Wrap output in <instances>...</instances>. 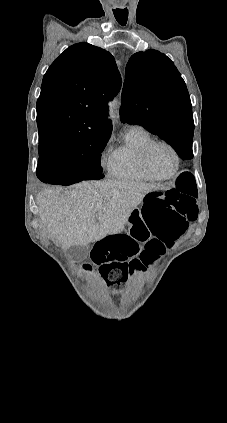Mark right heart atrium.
Instances as JSON below:
<instances>
[{"instance_id": "right-heart-atrium-1", "label": "right heart atrium", "mask_w": 227, "mask_h": 423, "mask_svg": "<svg viewBox=\"0 0 227 423\" xmlns=\"http://www.w3.org/2000/svg\"><path fill=\"white\" fill-rule=\"evenodd\" d=\"M110 158L111 155H109V143L106 144L103 152L101 153L100 156V164L103 167H108L110 166Z\"/></svg>"}]
</instances>
